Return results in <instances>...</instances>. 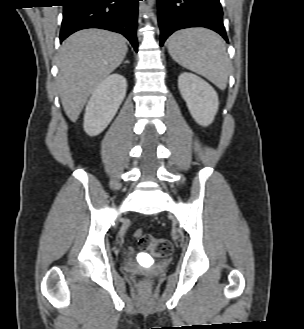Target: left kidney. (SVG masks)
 <instances>
[{"label": "left kidney", "instance_id": "1", "mask_svg": "<svg viewBox=\"0 0 304 329\" xmlns=\"http://www.w3.org/2000/svg\"><path fill=\"white\" fill-rule=\"evenodd\" d=\"M178 88L193 119L201 126L210 125L219 107L213 87L197 75L184 72L178 78Z\"/></svg>", "mask_w": 304, "mask_h": 329}]
</instances>
